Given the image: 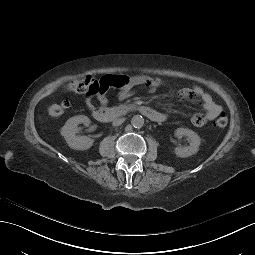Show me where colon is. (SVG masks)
Returning a JSON list of instances; mask_svg holds the SVG:
<instances>
[{
	"label": "colon",
	"instance_id": "obj_1",
	"mask_svg": "<svg viewBox=\"0 0 255 255\" xmlns=\"http://www.w3.org/2000/svg\"><path fill=\"white\" fill-rule=\"evenodd\" d=\"M130 82L127 76L106 75L101 78L86 76L84 78L74 80L64 87V92L68 93H97L106 91L111 87L123 88ZM68 109V104L54 103L48 107V114L51 117L57 118L63 116ZM228 116L225 112H220L214 125L218 129L226 127Z\"/></svg>",
	"mask_w": 255,
	"mask_h": 255
}]
</instances>
